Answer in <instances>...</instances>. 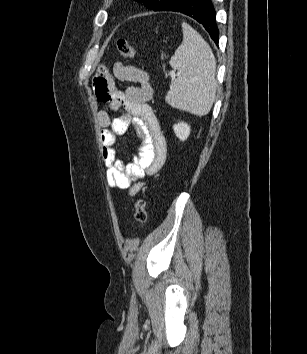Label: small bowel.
I'll return each mask as SVG.
<instances>
[{
	"instance_id": "obj_1",
	"label": "small bowel",
	"mask_w": 307,
	"mask_h": 354,
	"mask_svg": "<svg viewBox=\"0 0 307 354\" xmlns=\"http://www.w3.org/2000/svg\"><path fill=\"white\" fill-rule=\"evenodd\" d=\"M113 75L119 81L137 85L119 88L108 72L101 68L94 78L96 97L107 103V108L97 113L101 128L102 158L107 168L106 180L110 187L128 189L135 195L142 187L145 175H153L164 165L167 145L159 122L148 104L153 90L148 74L137 67L118 62ZM120 109L123 113L111 117L110 112ZM132 129L136 136L138 155L125 164L117 157L116 139Z\"/></svg>"
}]
</instances>
